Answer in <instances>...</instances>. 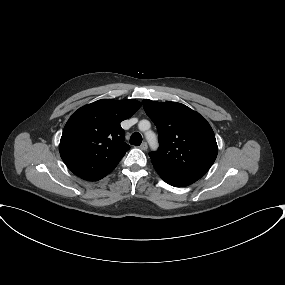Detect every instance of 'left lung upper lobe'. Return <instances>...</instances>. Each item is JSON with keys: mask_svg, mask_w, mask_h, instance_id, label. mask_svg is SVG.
<instances>
[{"mask_svg": "<svg viewBox=\"0 0 285 285\" xmlns=\"http://www.w3.org/2000/svg\"><path fill=\"white\" fill-rule=\"evenodd\" d=\"M147 115L157 127L160 147L151 160L203 176L214 163L218 147L209 123L177 102L143 100Z\"/></svg>", "mask_w": 285, "mask_h": 285, "instance_id": "left-lung-upper-lobe-1", "label": "left lung upper lobe"}]
</instances>
